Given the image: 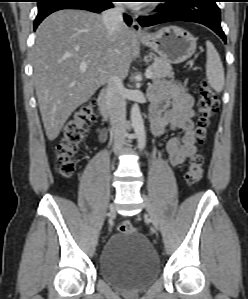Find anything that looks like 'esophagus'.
I'll return each instance as SVG.
<instances>
[{
  "label": "esophagus",
  "mask_w": 248,
  "mask_h": 299,
  "mask_svg": "<svg viewBox=\"0 0 248 299\" xmlns=\"http://www.w3.org/2000/svg\"><path fill=\"white\" fill-rule=\"evenodd\" d=\"M132 29L137 37L142 38L145 36V32L142 30V28L137 20L133 21Z\"/></svg>",
  "instance_id": "34e87169"
}]
</instances>
